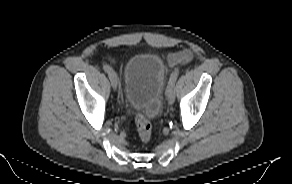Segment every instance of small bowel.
<instances>
[{"mask_svg":"<svg viewBox=\"0 0 292 184\" xmlns=\"http://www.w3.org/2000/svg\"><path fill=\"white\" fill-rule=\"evenodd\" d=\"M192 53L185 49L168 56V62L171 66L187 64L192 60Z\"/></svg>","mask_w":292,"mask_h":184,"instance_id":"1","label":"small bowel"}]
</instances>
